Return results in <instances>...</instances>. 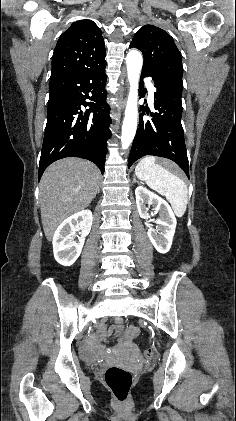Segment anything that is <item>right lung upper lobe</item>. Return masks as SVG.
I'll return each instance as SVG.
<instances>
[{
    "mask_svg": "<svg viewBox=\"0 0 236 421\" xmlns=\"http://www.w3.org/2000/svg\"><path fill=\"white\" fill-rule=\"evenodd\" d=\"M105 55L100 28L87 19L74 22L54 49L51 79L103 65Z\"/></svg>",
    "mask_w": 236,
    "mask_h": 421,
    "instance_id": "cb5924a9",
    "label": "right lung upper lobe"
}]
</instances>
